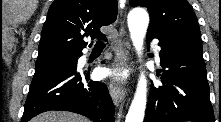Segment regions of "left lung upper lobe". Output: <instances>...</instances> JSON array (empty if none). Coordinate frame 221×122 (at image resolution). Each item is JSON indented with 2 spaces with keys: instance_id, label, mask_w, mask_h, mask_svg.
<instances>
[{
  "instance_id": "5c2ea615",
  "label": "left lung upper lobe",
  "mask_w": 221,
  "mask_h": 122,
  "mask_svg": "<svg viewBox=\"0 0 221 122\" xmlns=\"http://www.w3.org/2000/svg\"><path fill=\"white\" fill-rule=\"evenodd\" d=\"M132 7H146L152 30L168 41L202 49L196 15L186 0H130Z\"/></svg>"
}]
</instances>
